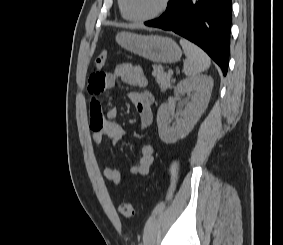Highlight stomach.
Here are the masks:
<instances>
[{
  "instance_id": "obj_1",
  "label": "stomach",
  "mask_w": 283,
  "mask_h": 245,
  "mask_svg": "<svg viewBox=\"0 0 283 245\" xmlns=\"http://www.w3.org/2000/svg\"><path fill=\"white\" fill-rule=\"evenodd\" d=\"M116 41L127 51L157 63H174L182 55L177 43L168 37L124 31L117 34Z\"/></svg>"
}]
</instances>
